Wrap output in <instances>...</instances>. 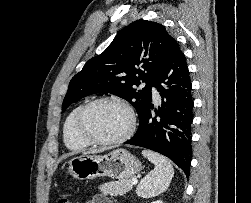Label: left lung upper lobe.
I'll return each instance as SVG.
<instances>
[{"instance_id": "obj_1", "label": "left lung upper lobe", "mask_w": 251, "mask_h": 203, "mask_svg": "<svg viewBox=\"0 0 251 203\" xmlns=\"http://www.w3.org/2000/svg\"><path fill=\"white\" fill-rule=\"evenodd\" d=\"M174 42L162 24L143 19L132 22L102 54L87 61L71 79L62 112L88 95L111 93L131 103L140 116L150 101L156 74L170 55ZM140 81L146 85L137 90L135 86Z\"/></svg>"}]
</instances>
